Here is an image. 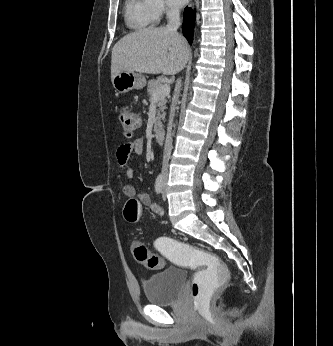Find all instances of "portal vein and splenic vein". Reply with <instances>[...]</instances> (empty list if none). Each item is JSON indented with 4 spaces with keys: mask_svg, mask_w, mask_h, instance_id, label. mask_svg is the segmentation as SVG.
Listing matches in <instances>:
<instances>
[{
    "mask_svg": "<svg viewBox=\"0 0 333 346\" xmlns=\"http://www.w3.org/2000/svg\"><path fill=\"white\" fill-rule=\"evenodd\" d=\"M170 93V85L165 83L159 89H157L153 94V99L158 100L160 98H164Z\"/></svg>",
    "mask_w": 333,
    "mask_h": 346,
    "instance_id": "1",
    "label": "portal vein and splenic vein"
}]
</instances>
